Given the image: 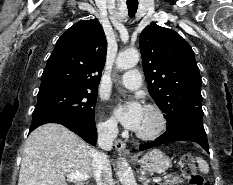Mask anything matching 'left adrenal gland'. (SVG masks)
Here are the masks:
<instances>
[{
	"label": "left adrenal gland",
	"instance_id": "1",
	"mask_svg": "<svg viewBox=\"0 0 233 185\" xmlns=\"http://www.w3.org/2000/svg\"><path fill=\"white\" fill-rule=\"evenodd\" d=\"M140 181L143 183V185H149L150 183V180L145 175L140 176Z\"/></svg>",
	"mask_w": 233,
	"mask_h": 185
}]
</instances>
